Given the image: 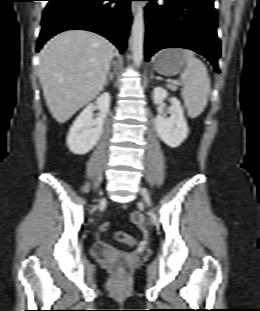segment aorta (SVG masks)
<instances>
[{
    "mask_svg": "<svg viewBox=\"0 0 260 311\" xmlns=\"http://www.w3.org/2000/svg\"><path fill=\"white\" fill-rule=\"evenodd\" d=\"M144 30V12L142 4H138L133 19L131 39V51L133 61L136 67H139L141 65L143 59Z\"/></svg>",
    "mask_w": 260,
    "mask_h": 311,
    "instance_id": "762f6f07",
    "label": "aorta"
}]
</instances>
